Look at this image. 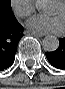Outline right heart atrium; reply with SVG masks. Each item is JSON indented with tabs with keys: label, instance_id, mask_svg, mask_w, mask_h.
Masks as SVG:
<instances>
[{
	"label": "right heart atrium",
	"instance_id": "1",
	"mask_svg": "<svg viewBox=\"0 0 65 89\" xmlns=\"http://www.w3.org/2000/svg\"><path fill=\"white\" fill-rule=\"evenodd\" d=\"M11 6L15 14L22 18L31 16L36 10L34 0H12Z\"/></svg>",
	"mask_w": 65,
	"mask_h": 89
}]
</instances>
